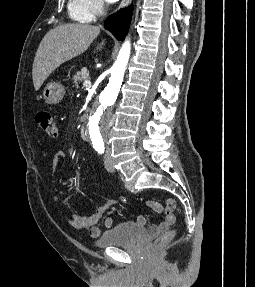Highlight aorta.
Masks as SVG:
<instances>
[{
	"label": "aorta",
	"mask_w": 255,
	"mask_h": 287,
	"mask_svg": "<svg viewBox=\"0 0 255 287\" xmlns=\"http://www.w3.org/2000/svg\"><path fill=\"white\" fill-rule=\"evenodd\" d=\"M130 50V43L126 40L122 45L116 62L111 68L109 83L99 96V101L89 116L87 134L88 139L94 147H102L104 145L109 110L115 103L120 91L126 65L130 57Z\"/></svg>",
	"instance_id": "obj_1"
}]
</instances>
